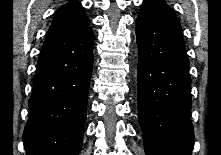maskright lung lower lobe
<instances>
[{
    "label": "right lung lower lobe",
    "mask_w": 221,
    "mask_h": 155,
    "mask_svg": "<svg viewBox=\"0 0 221 155\" xmlns=\"http://www.w3.org/2000/svg\"><path fill=\"white\" fill-rule=\"evenodd\" d=\"M88 24L49 32L38 59L23 133L28 154L79 155L93 65Z\"/></svg>",
    "instance_id": "1"
}]
</instances>
